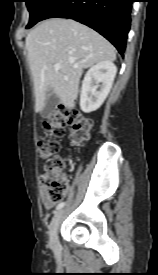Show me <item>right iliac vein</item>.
Here are the masks:
<instances>
[{
    "label": "right iliac vein",
    "instance_id": "63e3f726",
    "mask_svg": "<svg viewBox=\"0 0 158 275\" xmlns=\"http://www.w3.org/2000/svg\"><path fill=\"white\" fill-rule=\"evenodd\" d=\"M63 216V210L57 211L49 224V242L52 248L57 249L58 241V227Z\"/></svg>",
    "mask_w": 158,
    "mask_h": 275
}]
</instances>
